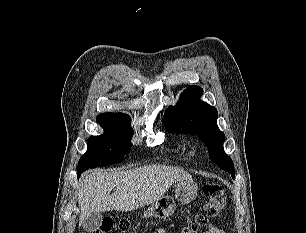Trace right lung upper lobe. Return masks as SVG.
<instances>
[{"label":"right lung upper lobe","instance_id":"1","mask_svg":"<svg viewBox=\"0 0 306 233\" xmlns=\"http://www.w3.org/2000/svg\"><path fill=\"white\" fill-rule=\"evenodd\" d=\"M104 114H109V115H118V116H125V117H129L128 115L124 114V113H104Z\"/></svg>","mask_w":306,"mask_h":233}]
</instances>
